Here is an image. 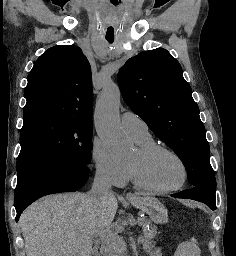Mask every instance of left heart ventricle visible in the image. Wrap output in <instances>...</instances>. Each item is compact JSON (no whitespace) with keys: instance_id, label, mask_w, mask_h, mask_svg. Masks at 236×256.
Segmentation results:
<instances>
[{"instance_id":"obj_1","label":"left heart ventricle","mask_w":236,"mask_h":256,"mask_svg":"<svg viewBox=\"0 0 236 256\" xmlns=\"http://www.w3.org/2000/svg\"><path fill=\"white\" fill-rule=\"evenodd\" d=\"M138 159L137 151L129 159L134 163ZM147 180L157 187H172L179 184L183 177L180 162L171 154L159 152L150 156L143 165Z\"/></svg>"}]
</instances>
